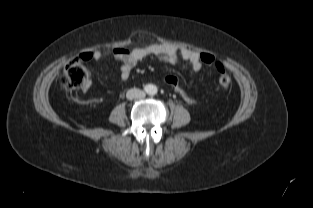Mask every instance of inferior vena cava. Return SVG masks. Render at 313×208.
I'll use <instances>...</instances> for the list:
<instances>
[{"label":"inferior vena cava","instance_id":"obj_1","mask_svg":"<svg viewBox=\"0 0 313 208\" xmlns=\"http://www.w3.org/2000/svg\"><path fill=\"white\" fill-rule=\"evenodd\" d=\"M126 97L129 100L140 99V98L145 97V92L140 90V89L133 88V89H130V90L127 91Z\"/></svg>","mask_w":313,"mask_h":208}]
</instances>
